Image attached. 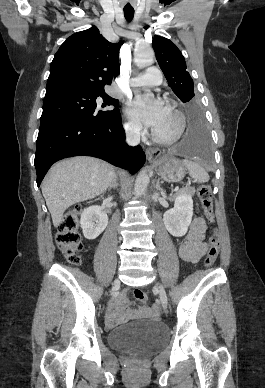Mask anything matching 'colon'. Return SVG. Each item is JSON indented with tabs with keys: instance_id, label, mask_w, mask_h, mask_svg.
<instances>
[{
	"instance_id": "5ec220e1",
	"label": "colon",
	"mask_w": 265,
	"mask_h": 388,
	"mask_svg": "<svg viewBox=\"0 0 265 388\" xmlns=\"http://www.w3.org/2000/svg\"><path fill=\"white\" fill-rule=\"evenodd\" d=\"M197 195L206 219L210 223H215V214L211 189L208 185H200L197 189ZM81 207L76 206L68 211L60 224L58 225L57 243L67 259L75 265L81 263L80 251L82 250V238L79 232V215ZM220 240L217 232L214 231L208 240V251L205 257L206 265L210 266L215 263L219 255ZM135 298L140 302H146L148 296L141 289L134 290Z\"/></svg>"
}]
</instances>
